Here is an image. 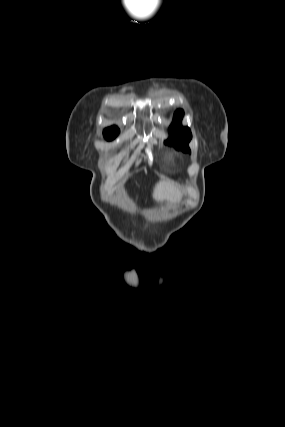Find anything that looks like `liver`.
Instances as JSON below:
<instances>
[{
  "label": "liver",
  "instance_id": "1",
  "mask_svg": "<svg viewBox=\"0 0 285 427\" xmlns=\"http://www.w3.org/2000/svg\"><path fill=\"white\" fill-rule=\"evenodd\" d=\"M183 193L170 181H160L156 184L153 191V198L156 201L167 200L177 202L182 198Z\"/></svg>",
  "mask_w": 285,
  "mask_h": 427
}]
</instances>
